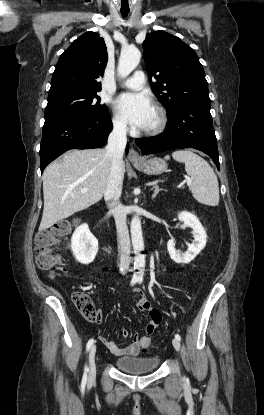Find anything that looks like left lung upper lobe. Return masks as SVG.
<instances>
[{
    "label": "left lung upper lobe",
    "instance_id": "1",
    "mask_svg": "<svg viewBox=\"0 0 264 415\" xmlns=\"http://www.w3.org/2000/svg\"><path fill=\"white\" fill-rule=\"evenodd\" d=\"M144 59L152 90L168 114L189 102H207L208 84L195 51L164 31L146 35Z\"/></svg>",
    "mask_w": 264,
    "mask_h": 415
}]
</instances>
